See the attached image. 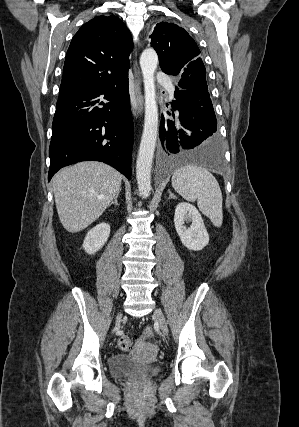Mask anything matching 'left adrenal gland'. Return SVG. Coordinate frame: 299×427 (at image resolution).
I'll use <instances>...</instances> for the list:
<instances>
[{
	"mask_svg": "<svg viewBox=\"0 0 299 427\" xmlns=\"http://www.w3.org/2000/svg\"><path fill=\"white\" fill-rule=\"evenodd\" d=\"M168 192H169V198L168 199L176 198L175 195L170 190H168Z\"/></svg>",
	"mask_w": 299,
	"mask_h": 427,
	"instance_id": "left-adrenal-gland-1",
	"label": "left adrenal gland"
}]
</instances>
